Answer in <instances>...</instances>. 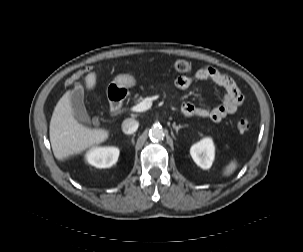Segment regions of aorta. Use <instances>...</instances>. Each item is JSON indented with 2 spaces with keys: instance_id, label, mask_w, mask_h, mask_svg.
<instances>
[{
  "instance_id": "aorta-1",
  "label": "aorta",
  "mask_w": 303,
  "mask_h": 252,
  "mask_svg": "<svg viewBox=\"0 0 303 252\" xmlns=\"http://www.w3.org/2000/svg\"><path fill=\"white\" fill-rule=\"evenodd\" d=\"M149 137L154 141L162 140L164 138L163 129L159 126H153L149 131Z\"/></svg>"
}]
</instances>
